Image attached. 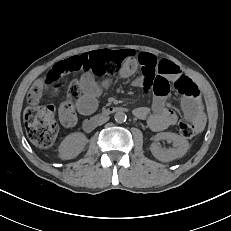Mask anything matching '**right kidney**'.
I'll use <instances>...</instances> for the list:
<instances>
[{"label":"right kidney","mask_w":231,"mask_h":231,"mask_svg":"<svg viewBox=\"0 0 231 231\" xmlns=\"http://www.w3.org/2000/svg\"><path fill=\"white\" fill-rule=\"evenodd\" d=\"M88 140L83 133L75 132L65 137L59 147L61 159L69 160L79 155L87 144Z\"/></svg>","instance_id":"ca27d5eb"}]
</instances>
